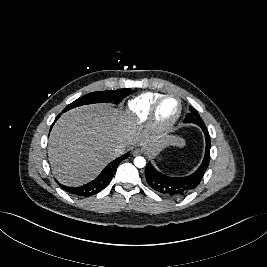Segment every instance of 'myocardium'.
I'll use <instances>...</instances> for the list:
<instances>
[{"instance_id":"f54148a6","label":"myocardium","mask_w":267,"mask_h":267,"mask_svg":"<svg viewBox=\"0 0 267 267\" xmlns=\"http://www.w3.org/2000/svg\"><path fill=\"white\" fill-rule=\"evenodd\" d=\"M168 98H175L178 101L179 109H178L176 116L174 117L172 121H170L167 124H161L157 119V113H158V110L161 104ZM182 111H183V103H182L181 98L178 95L174 93L163 94L153 103L151 107V110H150V113L147 119V127L149 131L154 134H158V135L166 134L172 131L173 128L178 123V121L180 120Z\"/></svg>"}]
</instances>
